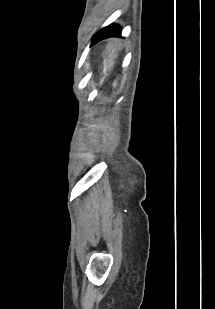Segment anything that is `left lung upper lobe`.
<instances>
[{
    "label": "left lung upper lobe",
    "mask_w": 215,
    "mask_h": 309,
    "mask_svg": "<svg viewBox=\"0 0 215 309\" xmlns=\"http://www.w3.org/2000/svg\"><path fill=\"white\" fill-rule=\"evenodd\" d=\"M121 35V28L117 25H109L102 30L95 36L93 43L106 39L108 37L120 36Z\"/></svg>",
    "instance_id": "1"
}]
</instances>
